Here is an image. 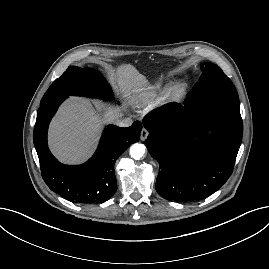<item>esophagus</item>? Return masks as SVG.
<instances>
[{
    "label": "esophagus",
    "instance_id": "obj_1",
    "mask_svg": "<svg viewBox=\"0 0 269 269\" xmlns=\"http://www.w3.org/2000/svg\"><path fill=\"white\" fill-rule=\"evenodd\" d=\"M148 134L149 133H148L147 129L146 128H143L142 131H141V136H140L141 140L142 141L146 140L147 137H148Z\"/></svg>",
    "mask_w": 269,
    "mask_h": 269
}]
</instances>
